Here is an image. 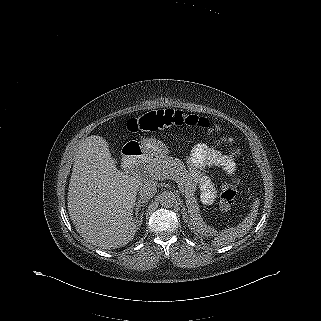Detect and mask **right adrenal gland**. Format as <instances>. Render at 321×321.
Returning <instances> with one entry per match:
<instances>
[{
    "label": "right adrenal gland",
    "mask_w": 321,
    "mask_h": 321,
    "mask_svg": "<svg viewBox=\"0 0 321 321\" xmlns=\"http://www.w3.org/2000/svg\"><path fill=\"white\" fill-rule=\"evenodd\" d=\"M147 203V200L146 199H143V198H140L138 200V202L135 203V220H136V224H137V227L141 226L142 223H143V218H144V204ZM142 207V212H141V215L139 217V209Z\"/></svg>",
    "instance_id": "1"
}]
</instances>
